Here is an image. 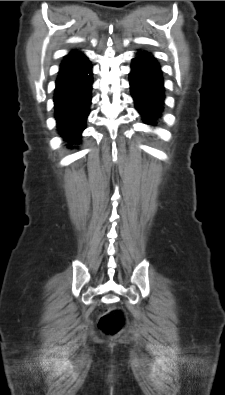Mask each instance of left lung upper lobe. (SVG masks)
<instances>
[{
  "instance_id": "obj_1",
  "label": "left lung upper lobe",
  "mask_w": 225,
  "mask_h": 395,
  "mask_svg": "<svg viewBox=\"0 0 225 395\" xmlns=\"http://www.w3.org/2000/svg\"><path fill=\"white\" fill-rule=\"evenodd\" d=\"M138 52H139L140 55H151V53H150V52H147V51H141V50H139Z\"/></svg>"
}]
</instances>
